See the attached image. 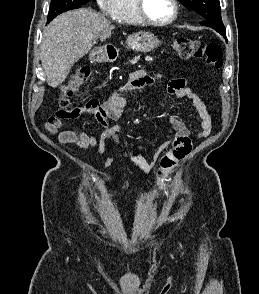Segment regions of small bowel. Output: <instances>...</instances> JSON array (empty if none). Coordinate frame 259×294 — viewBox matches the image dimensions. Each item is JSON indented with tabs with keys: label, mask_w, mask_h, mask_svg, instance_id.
Segmentation results:
<instances>
[{
	"label": "small bowel",
	"mask_w": 259,
	"mask_h": 294,
	"mask_svg": "<svg viewBox=\"0 0 259 294\" xmlns=\"http://www.w3.org/2000/svg\"><path fill=\"white\" fill-rule=\"evenodd\" d=\"M161 77L160 74L152 77L145 71H140L134 74L125 86L113 90L104 102L91 99L71 107L67 113L57 111L48 118L42 125V128L53 136L59 144L73 143L77 150L97 148V153L102 155L106 151H109L110 144L117 146L120 144L119 134L121 127L118 125L111 126L109 121L117 120L121 117L127 106V96L134 91L152 85L156 80L161 79ZM167 92L171 96L187 98L192 102L193 107L201 119L197 138L208 136L212 128L211 117L203 101L187 86L186 80H171L167 84ZM82 115H92L103 127V132L99 137L89 135L80 129L65 128L64 121L76 119ZM169 123L176 135L172 142H167L162 146V148H170L160 156V169L158 171L160 183L163 182L166 174L172 170L175 164L186 157L192 149L190 131L185 122L178 117L172 116L169 119ZM120 150L123 156L134 162L144 174L153 168L161 152V150L158 151L152 160L148 161L138 152ZM112 162L113 156L109 154L104 162V166L109 167Z\"/></svg>",
	"instance_id": "1"
}]
</instances>
